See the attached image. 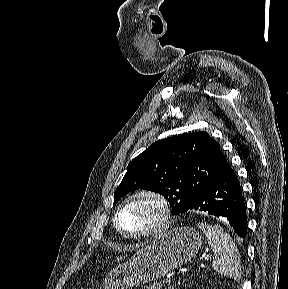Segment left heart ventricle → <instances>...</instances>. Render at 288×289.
<instances>
[{
    "mask_svg": "<svg viewBox=\"0 0 288 289\" xmlns=\"http://www.w3.org/2000/svg\"><path fill=\"white\" fill-rule=\"evenodd\" d=\"M160 217L158 204L150 198H137L127 204L120 214V224L129 233L150 229Z\"/></svg>",
    "mask_w": 288,
    "mask_h": 289,
    "instance_id": "1",
    "label": "left heart ventricle"
}]
</instances>
